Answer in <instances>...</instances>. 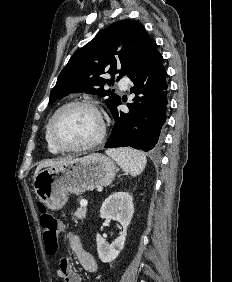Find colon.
I'll list each match as a JSON object with an SVG mask.
<instances>
[{
  "mask_svg": "<svg viewBox=\"0 0 232 282\" xmlns=\"http://www.w3.org/2000/svg\"><path fill=\"white\" fill-rule=\"evenodd\" d=\"M40 224L43 230L45 250L48 255H55L59 249L61 224L58 219L40 205Z\"/></svg>",
  "mask_w": 232,
  "mask_h": 282,
  "instance_id": "1",
  "label": "colon"
}]
</instances>
